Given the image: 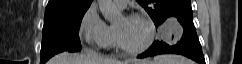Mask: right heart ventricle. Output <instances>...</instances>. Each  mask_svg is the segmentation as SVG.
<instances>
[{"instance_id": "1", "label": "right heart ventricle", "mask_w": 242, "mask_h": 64, "mask_svg": "<svg viewBox=\"0 0 242 64\" xmlns=\"http://www.w3.org/2000/svg\"><path fill=\"white\" fill-rule=\"evenodd\" d=\"M110 28H111V29L114 31V33H115V37H116V31H115V28H114V27H110ZM115 37H114V39H113V41H112L111 43H113V42H114ZM111 43H110V44H111ZM110 44H109V45H110ZM107 46H108V45H107Z\"/></svg>"}]
</instances>
